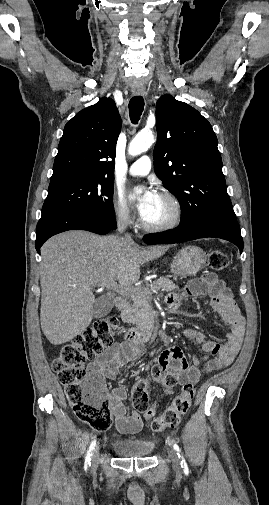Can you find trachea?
Returning a JSON list of instances; mask_svg holds the SVG:
<instances>
[{"mask_svg":"<svg viewBox=\"0 0 269 505\" xmlns=\"http://www.w3.org/2000/svg\"><path fill=\"white\" fill-rule=\"evenodd\" d=\"M144 109V100L141 96L132 97L129 102V115L133 124H137L140 120Z\"/></svg>","mask_w":269,"mask_h":505,"instance_id":"trachea-1","label":"trachea"}]
</instances>
